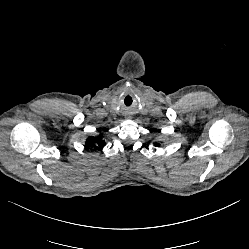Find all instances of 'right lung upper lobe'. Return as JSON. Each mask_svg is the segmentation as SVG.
<instances>
[{
	"label": "right lung upper lobe",
	"instance_id": "cb5924a9",
	"mask_svg": "<svg viewBox=\"0 0 249 249\" xmlns=\"http://www.w3.org/2000/svg\"><path fill=\"white\" fill-rule=\"evenodd\" d=\"M104 144L105 143L100 136L98 137L91 136L86 141V146L94 149L102 148Z\"/></svg>",
	"mask_w": 249,
	"mask_h": 249
}]
</instances>
